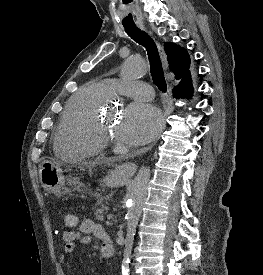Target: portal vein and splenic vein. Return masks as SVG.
Wrapping results in <instances>:
<instances>
[{
  "label": "portal vein and splenic vein",
  "mask_w": 263,
  "mask_h": 275,
  "mask_svg": "<svg viewBox=\"0 0 263 275\" xmlns=\"http://www.w3.org/2000/svg\"><path fill=\"white\" fill-rule=\"evenodd\" d=\"M112 218H113V215H112V214H108V215H107V219H108V220H110V219H112Z\"/></svg>",
  "instance_id": "portal-vein-and-splenic-vein-1"
}]
</instances>
